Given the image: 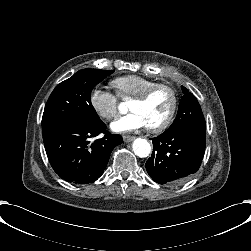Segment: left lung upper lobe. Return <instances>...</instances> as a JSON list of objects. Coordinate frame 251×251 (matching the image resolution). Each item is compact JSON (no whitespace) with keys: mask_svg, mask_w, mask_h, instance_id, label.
Instances as JSON below:
<instances>
[{"mask_svg":"<svg viewBox=\"0 0 251 251\" xmlns=\"http://www.w3.org/2000/svg\"><path fill=\"white\" fill-rule=\"evenodd\" d=\"M181 88L183 96L180 101L176 119L164 133L186 126H201L206 128V122L198 100L186 87L181 86Z\"/></svg>","mask_w":251,"mask_h":251,"instance_id":"5c2ea615","label":"left lung upper lobe"}]
</instances>
